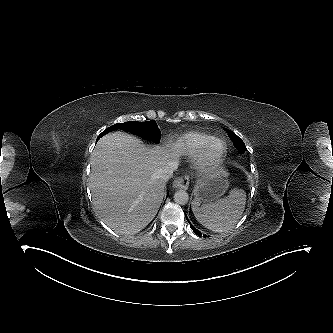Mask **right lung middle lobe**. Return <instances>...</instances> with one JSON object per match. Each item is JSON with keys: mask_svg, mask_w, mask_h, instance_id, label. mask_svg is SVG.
Wrapping results in <instances>:
<instances>
[{"mask_svg": "<svg viewBox=\"0 0 333 333\" xmlns=\"http://www.w3.org/2000/svg\"><path fill=\"white\" fill-rule=\"evenodd\" d=\"M117 129L133 133L145 140H150L155 143H159L161 139V132L154 120L146 122L129 121L118 123L107 128L105 131L110 132Z\"/></svg>", "mask_w": 333, "mask_h": 333, "instance_id": "dd1d6c3e", "label": "right lung middle lobe"}]
</instances>
